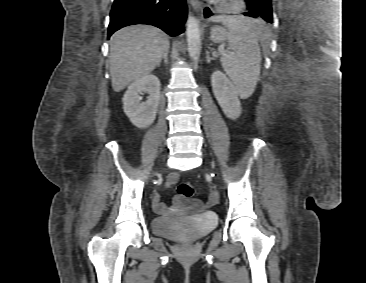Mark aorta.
I'll return each mask as SVG.
<instances>
[{"label": "aorta", "mask_w": 366, "mask_h": 283, "mask_svg": "<svg viewBox=\"0 0 366 283\" xmlns=\"http://www.w3.org/2000/svg\"><path fill=\"white\" fill-rule=\"evenodd\" d=\"M186 35L189 56L195 60L200 52L201 40L199 22L192 14H189L187 19Z\"/></svg>", "instance_id": "obj_1"}]
</instances>
